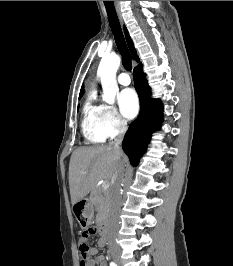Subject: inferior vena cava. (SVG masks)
I'll list each match as a JSON object with an SVG mask.
<instances>
[{
    "mask_svg": "<svg viewBox=\"0 0 233 266\" xmlns=\"http://www.w3.org/2000/svg\"><path fill=\"white\" fill-rule=\"evenodd\" d=\"M126 130L127 124L123 121L119 126V133L117 138L110 144L112 147L120 150ZM123 176V173H121L118 177H116L111 189L110 215L108 221V230L110 236H113L116 233L119 226V211L122 205L120 186L123 181Z\"/></svg>",
    "mask_w": 233,
    "mask_h": 266,
    "instance_id": "obj_1",
    "label": "inferior vena cava"
}]
</instances>
